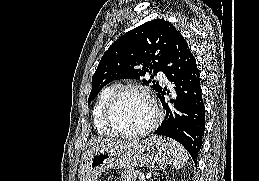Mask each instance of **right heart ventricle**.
I'll return each mask as SVG.
<instances>
[{"label": "right heart ventricle", "instance_id": "obj_1", "mask_svg": "<svg viewBox=\"0 0 259 181\" xmlns=\"http://www.w3.org/2000/svg\"><path fill=\"white\" fill-rule=\"evenodd\" d=\"M117 88V85L111 84L106 86L98 94L92 109V121L97 133L101 136H112V131L104 122V109L111 94Z\"/></svg>", "mask_w": 259, "mask_h": 181}]
</instances>
